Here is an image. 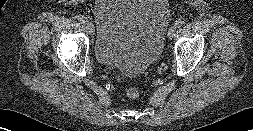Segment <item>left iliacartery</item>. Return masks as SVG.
<instances>
[{
    "label": "left iliac artery",
    "mask_w": 253,
    "mask_h": 131,
    "mask_svg": "<svg viewBox=\"0 0 253 131\" xmlns=\"http://www.w3.org/2000/svg\"><path fill=\"white\" fill-rule=\"evenodd\" d=\"M184 23H185V19H184V18H178V19L176 20V22H175V25H176L177 27H180V26H182Z\"/></svg>",
    "instance_id": "44dca946"
}]
</instances>
